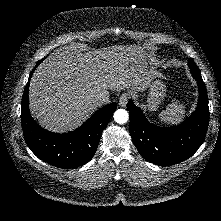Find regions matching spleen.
<instances>
[{"instance_id": "obj_1", "label": "spleen", "mask_w": 221, "mask_h": 221, "mask_svg": "<svg viewBox=\"0 0 221 221\" xmlns=\"http://www.w3.org/2000/svg\"><path fill=\"white\" fill-rule=\"evenodd\" d=\"M185 116V107L183 104L177 102L172 103L169 107L159 114L161 122L167 125H174L180 123Z\"/></svg>"}]
</instances>
